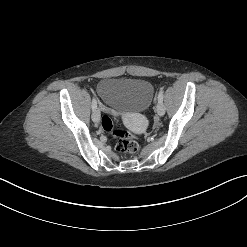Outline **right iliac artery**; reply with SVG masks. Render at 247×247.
I'll use <instances>...</instances> for the list:
<instances>
[{
    "label": "right iliac artery",
    "instance_id": "right-iliac-artery-1",
    "mask_svg": "<svg viewBox=\"0 0 247 247\" xmlns=\"http://www.w3.org/2000/svg\"><path fill=\"white\" fill-rule=\"evenodd\" d=\"M96 108H97V100H96L95 97H93V100H92V110L94 111Z\"/></svg>",
    "mask_w": 247,
    "mask_h": 247
}]
</instances>
